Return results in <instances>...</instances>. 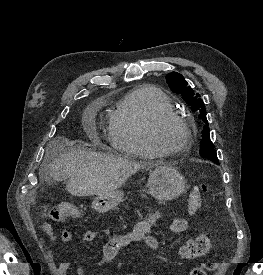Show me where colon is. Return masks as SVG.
Returning <instances> with one entry per match:
<instances>
[{
	"mask_svg": "<svg viewBox=\"0 0 263 275\" xmlns=\"http://www.w3.org/2000/svg\"><path fill=\"white\" fill-rule=\"evenodd\" d=\"M207 191L205 184L195 186L187 199V210L189 214H194L201 206V199L203 193ZM78 209L72 205L65 204L54 207L50 213L49 218L54 222H63L67 218L79 217ZM212 247L211 238L206 234H200L188 242H186L180 249V256L185 260L204 257L209 253ZM219 263L214 261H206L195 267L190 275H208L209 272L215 270Z\"/></svg>",
	"mask_w": 263,
	"mask_h": 275,
	"instance_id": "obj_1",
	"label": "colon"
}]
</instances>
